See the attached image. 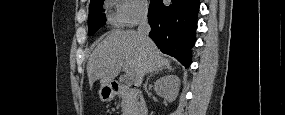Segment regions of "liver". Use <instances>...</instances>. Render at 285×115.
<instances>
[{
  "label": "liver",
  "mask_w": 285,
  "mask_h": 115,
  "mask_svg": "<svg viewBox=\"0 0 285 115\" xmlns=\"http://www.w3.org/2000/svg\"><path fill=\"white\" fill-rule=\"evenodd\" d=\"M123 65L132 72L135 85L140 86L145 74L170 66V60L162 56L152 40L143 43L136 31L115 29L89 57L87 76L90 86L97 80L101 87L110 84Z\"/></svg>",
  "instance_id": "liver-1"
}]
</instances>
